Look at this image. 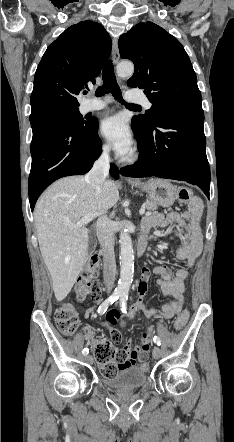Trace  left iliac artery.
Returning <instances> with one entry per match:
<instances>
[{
    "label": "left iliac artery",
    "instance_id": "obj_1",
    "mask_svg": "<svg viewBox=\"0 0 234 442\" xmlns=\"http://www.w3.org/2000/svg\"><path fill=\"white\" fill-rule=\"evenodd\" d=\"M127 299L128 295L126 293H122L120 295V307L123 313H127ZM153 340L156 345L159 346L161 344L160 338L158 336H154Z\"/></svg>",
    "mask_w": 234,
    "mask_h": 442
}]
</instances>
